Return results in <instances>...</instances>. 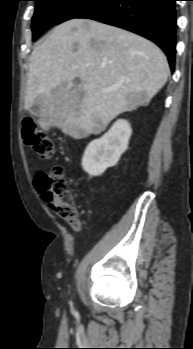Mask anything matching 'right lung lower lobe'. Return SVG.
<instances>
[{
	"mask_svg": "<svg viewBox=\"0 0 193 349\" xmlns=\"http://www.w3.org/2000/svg\"><path fill=\"white\" fill-rule=\"evenodd\" d=\"M176 0H98L76 18L93 19L139 34L161 47L174 71Z\"/></svg>",
	"mask_w": 193,
	"mask_h": 349,
	"instance_id": "98d812e1",
	"label": "right lung lower lobe"
}]
</instances>
